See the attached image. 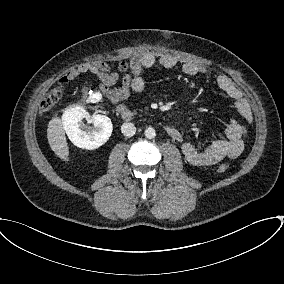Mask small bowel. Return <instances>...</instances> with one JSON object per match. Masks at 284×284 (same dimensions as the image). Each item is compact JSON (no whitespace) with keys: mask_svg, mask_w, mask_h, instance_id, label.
I'll use <instances>...</instances> for the list:
<instances>
[{"mask_svg":"<svg viewBox=\"0 0 284 284\" xmlns=\"http://www.w3.org/2000/svg\"><path fill=\"white\" fill-rule=\"evenodd\" d=\"M131 74L122 78V85L114 87L119 80L117 73L113 72L110 66L104 62L95 61L83 63L70 70L60 83H67L84 72H91L99 79V89L103 96L112 104H117L121 100L127 99L132 93L141 92L145 87L143 73L146 69L153 66H160L165 69H171L179 64L178 59L167 53H145L134 56L131 59ZM182 71L189 76L206 75L207 70L196 63L185 62L182 64ZM214 82L218 89L224 92L233 100L235 109L239 114L241 121L231 119L225 129L223 139L214 140L204 147H197L190 142H183V136L178 131L174 138L181 145L182 153L185 159L195 165L208 166L216 164L223 158H236L244 149V140L247 134V125L252 121V113L249 104L243 98L241 91L235 83L226 75H217Z\"/></svg>","mask_w":284,"mask_h":284,"instance_id":"small-bowel-1","label":"small bowel"}]
</instances>
